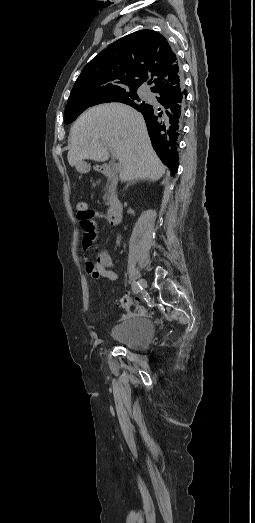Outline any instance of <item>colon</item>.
<instances>
[{
	"label": "colon",
	"instance_id": "1",
	"mask_svg": "<svg viewBox=\"0 0 255 523\" xmlns=\"http://www.w3.org/2000/svg\"><path fill=\"white\" fill-rule=\"evenodd\" d=\"M77 218L80 222H88L91 219V211L86 202H79L76 205ZM120 305L128 311H132L138 315H145L146 310L140 305L136 304L130 298L124 296L119 301Z\"/></svg>",
	"mask_w": 255,
	"mask_h": 523
}]
</instances>
